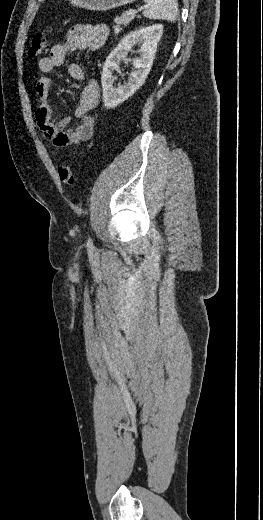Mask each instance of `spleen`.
I'll return each instance as SVG.
<instances>
[{
	"mask_svg": "<svg viewBox=\"0 0 263 520\" xmlns=\"http://www.w3.org/2000/svg\"><path fill=\"white\" fill-rule=\"evenodd\" d=\"M147 8L144 16L149 19H163L175 22L178 16L177 0H144Z\"/></svg>",
	"mask_w": 263,
	"mask_h": 520,
	"instance_id": "3e777b00",
	"label": "spleen"
}]
</instances>
